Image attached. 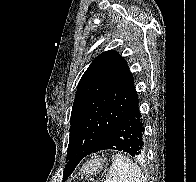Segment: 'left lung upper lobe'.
<instances>
[{"mask_svg": "<svg viewBox=\"0 0 196 182\" xmlns=\"http://www.w3.org/2000/svg\"><path fill=\"white\" fill-rule=\"evenodd\" d=\"M137 99L133 75L125 59L113 50L101 53L78 84L67 155L77 147L91 153ZM66 162L63 182L77 166L73 161Z\"/></svg>", "mask_w": 196, "mask_h": 182, "instance_id": "5c2ea615", "label": "left lung upper lobe"}]
</instances>
